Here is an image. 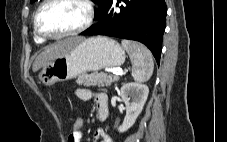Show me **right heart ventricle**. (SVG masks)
Here are the masks:
<instances>
[{"instance_id":"obj_1","label":"right heart ventricle","mask_w":227,"mask_h":142,"mask_svg":"<svg viewBox=\"0 0 227 142\" xmlns=\"http://www.w3.org/2000/svg\"><path fill=\"white\" fill-rule=\"evenodd\" d=\"M36 39H37L39 42H42V41H43V38H41V37L38 36L37 34H36Z\"/></svg>"}]
</instances>
